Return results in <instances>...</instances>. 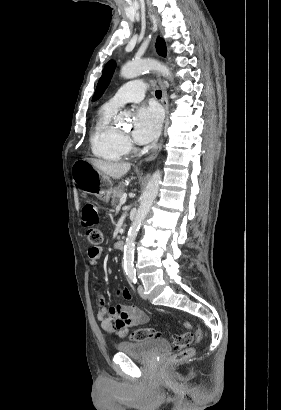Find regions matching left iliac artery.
I'll return each mask as SVG.
<instances>
[{"mask_svg": "<svg viewBox=\"0 0 281 410\" xmlns=\"http://www.w3.org/2000/svg\"><path fill=\"white\" fill-rule=\"evenodd\" d=\"M128 277H129V279L131 280V282H133L134 284L137 283L136 273L130 272V273L128 274Z\"/></svg>", "mask_w": 281, "mask_h": 410, "instance_id": "44dca946", "label": "left iliac artery"}]
</instances>
